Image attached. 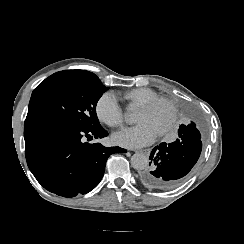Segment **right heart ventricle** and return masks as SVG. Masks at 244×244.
<instances>
[{"mask_svg": "<svg viewBox=\"0 0 244 244\" xmlns=\"http://www.w3.org/2000/svg\"><path fill=\"white\" fill-rule=\"evenodd\" d=\"M115 95L128 102L131 107L134 106L135 108L159 97L154 91L148 88H135L127 91H118Z\"/></svg>", "mask_w": 244, "mask_h": 244, "instance_id": "right-heart-ventricle-1", "label": "right heart ventricle"}]
</instances>
